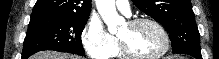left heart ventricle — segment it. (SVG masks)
Here are the masks:
<instances>
[{"instance_id": "1", "label": "left heart ventricle", "mask_w": 219, "mask_h": 59, "mask_svg": "<svg viewBox=\"0 0 219 59\" xmlns=\"http://www.w3.org/2000/svg\"><path fill=\"white\" fill-rule=\"evenodd\" d=\"M128 49L138 56H150L163 46L158 30L150 24L129 26L126 24L117 34Z\"/></svg>"}]
</instances>
